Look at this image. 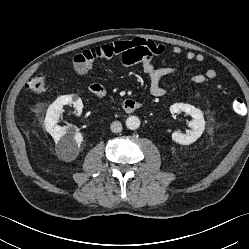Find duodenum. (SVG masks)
Listing matches in <instances>:
<instances>
[{"instance_id": "410a0bca", "label": "duodenum", "mask_w": 249, "mask_h": 249, "mask_svg": "<svg viewBox=\"0 0 249 249\" xmlns=\"http://www.w3.org/2000/svg\"><path fill=\"white\" fill-rule=\"evenodd\" d=\"M89 91L96 97L104 98L107 96L106 90L101 87H94L91 85ZM142 107V102L132 99H127L122 103L123 111L126 113H133L135 111L140 110Z\"/></svg>"}]
</instances>
